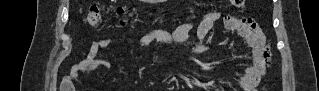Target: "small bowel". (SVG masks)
<instances>
[{
    "mask_svg": "<svg viewBox=\"0 0 319 91\" xmlns=\"http://www.w3.org/2000/svg\"><path fill=\"white\" fill-rule=\"evenodd\" d=\"M221 18L223 19L224 27L229 31L236 32L250 49V62L245 67V74L239 80L240 90L256 91L267 70V42L261 29L250 19L232 15L223 16L219 12H210L198 22H186L179 25L173 34L166 39V42L169 45L185 47V41L189 33L195 30L199 43L187 49V53L191 56L204 54L210 49L205 43V39L214 24ZM157 36L155 33H149L139 36L137 40L142 48L148 49L150 42ZM111 43V38H101L94 41L88 57L72 67L69 77L75 79L79 72L93 66L108 68L110 62L106 59L98 58V52L101 49L108 48Z\"/></svg>",
    "mask_w": 319,
    "mask_h": 91,
    "instance_id": "obj_1",
    "label": "small bowel"
}]
</instances>
